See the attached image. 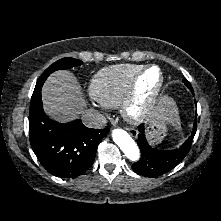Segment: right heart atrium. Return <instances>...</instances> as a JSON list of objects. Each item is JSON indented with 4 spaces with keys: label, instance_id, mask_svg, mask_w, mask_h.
<instances>
[{
    "label": "right heart atrium",
    "instance_id": "obj_1",
    "mask_svg": "<svg viewBox=\"0 0 221 221\" xmlns=\"http://www.w3.org/2000/svg\"><path fill=\"white\" fill-rule=\"evenodd\" d=\"M92 107L98 111H101V112H105L106 111V106L101 104V103H92Z\"/></svg>",
    "mask_w": 221,
    "mask_h": 221
}]
</instances>
